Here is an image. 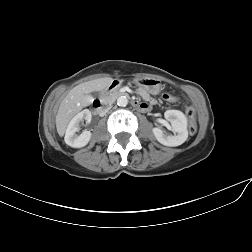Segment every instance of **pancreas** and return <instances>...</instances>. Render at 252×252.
Returning a JSON list of instances; mask_svg holds the SVG:
<instances>
[{
  "label": "pancreas",
  "mask_w": 252,
  "mask_h": 252,
  "mask_svg": "<svg viewBox=\"0 0 252 252\" xmlns=\"http://www.w3.org/2000/svg\"><path fill=\"white\" fill-rule=\"evenodd\" d=\"M137 93L143 98L146 99L148 101L149 104H156L159 105L160 101L156 100V99H151L150 95L148 94V92H146L144 89L142 88H138L137 89ZM115 93H113L110 97H112Z\"/></svg>",
  "instance_id": "obj_1"
}]
</instances>
